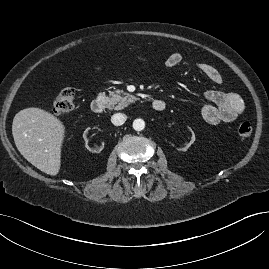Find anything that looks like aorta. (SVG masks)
Instances as JSON below:
<instances>
[{
    "instance_id": "1",
    "label": "aorta",
    "mask_w": 269,
    "mask_h": 269,
    "mask_svg": "<svg viewBox=\"0 0 269 269\" xmlns=\"http://www.w3.org/2000/svg\"><path fill=\"white\" fill-rule=\"evenodd\" d=\"M133 128L136 131H142L145 128V122L142 119H135L133 121Z\"/></svg>"
}]
</instances>
